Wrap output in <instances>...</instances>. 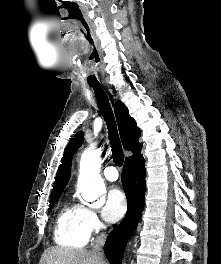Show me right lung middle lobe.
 I'll return each mask as SVG.
<instances>
[{"mask_svg": "<svg viewBox=\"0 0 221 264\" xmlns=\"http://www.w3.org/2000/svg\"><path fill=\"white\" fill-rule=\"evenodd\" d=\"M59 197H60V195H58V196H56L54 198H51L50 202H49L50 203L49 206L53 207V205L55 204V202L58 200Z\"/></svg>", "mask_w": 221, "mask_h": 264, "instance_id": "1", "label": "right lung middle lobe"}]
</instances>
